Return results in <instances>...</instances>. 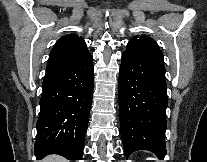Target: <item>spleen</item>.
Masks as SVG:
<instances>
[{"label": "spleen", "mask_w": 207, "mask_h": 162, "mask_svg": "<svg viewBox=\"0 0 207 162\" xmlns=\"http://www.w3.org/2000/svg\"><path fill=\"white\" fill-rule=\"evenodd\" d=\"M148 160H154L153 158H148Z\"/></svg>", "instance_id": "3e777b00"}]
</instances>
